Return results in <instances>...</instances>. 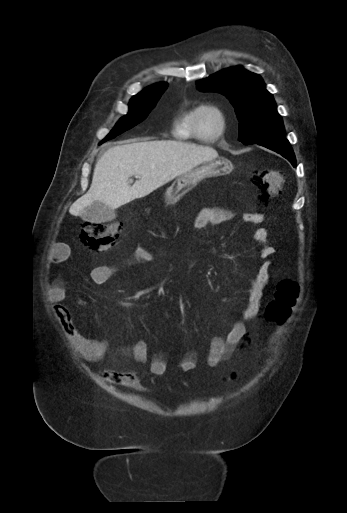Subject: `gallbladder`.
<instances>
[{"label":"gallbladder","instance_id":"obj_1","mask_svg":"<svg viewBox=\"0 0 347 513\" xmlns=\"http://www.w3.org/2000/svg\"><path fill=\"white\" fill-rule=\"evenodd\" d=\"M84 221L91 223L110 222L115 219V210L105 204L95 201L81 213Z\"/></svg>","mask_w":347,"mask_h":513}]
</instances>
